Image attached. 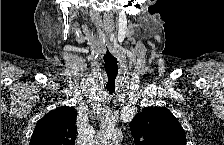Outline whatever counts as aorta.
<instances>
[{
    "label": "aorta",
    "instance_id": "obj_1",
    "mask_svg": "<svg viewBox=\"0 0 224 145\" xmlns=\"http://www.w3.org/2000/svg\"><path fill=\"white\" fill-rule=\"evenodd\" d=\"M122 138L121 131L114 126L103 127L96 137L97 145H118Z\"/></svg>",
    "mask_w": 224,
    "mask_h": 145
}]
</instances>
